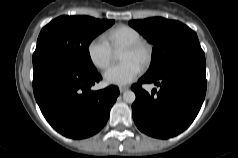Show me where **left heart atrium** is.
<instances>
[{"instance_id":"left-heart-atrium-1","label":"left heart atrium","mask_w":238,"mask_h":158,"mask_svg":"<svg viewBox=\"0 0 238 158\" xmlns=\"http://www.w3.org/2000/svg\"><path fill=\"white\" fill-rule=\"evenodd\" d=\"M141 72V65L127 60L110 66L104 72V79L108 84L126 85L132 82Z\"/></svg>"}]
</instances>
